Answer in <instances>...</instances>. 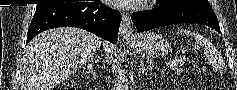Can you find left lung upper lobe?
I'll list each match as a JSON object with an SVG mask.
<instances>
[{"mask_svg": "<svg viewBox=\"0 0 237 90\" xmlns=\"http://www.w3.org/2000/svg\"><path fill=\"white\" fill-rule=\"evenodd\" d=\"M159 3L165 7H188L213 11L207 0H159Z\"/></svg>", "mask_w": 237, "mask_h": 90, "instance_id": "5c2ea615", "label": "left lung upper lobe"}]
</instances>
